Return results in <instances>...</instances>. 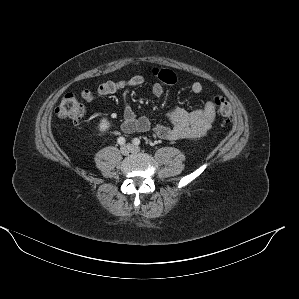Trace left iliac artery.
<instances>
[{"label": "left iliac artery", "instance_id": "left-iliac-artery-1", "mask_svg": "<svg viewBox=\"0 0 299 299\" xmlns=\"http://www.w3.org/2000/svg\"><path fill=\"white\" fill-rule=\"evenodd\" d=\"M133 144L138 146L140 144V139L134 138L133 139Z\"/></svg>", "mask_w": 299, "mask_h": 299}]
</instances>
